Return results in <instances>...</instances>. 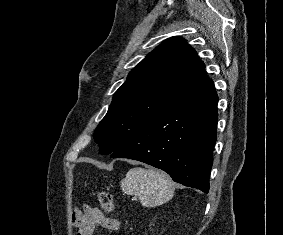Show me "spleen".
Wrapping results in <instances>:
<instances>
[{"instance_id":"1","label":"spleen","mask_w":283,"mask_h":235,"mask_svg":"<svg viewBox=\"0 0 283 235\" xmlns=\"http://www.w3.org/2000/svg\"><path fill=\"white\" fill-rule=\"evenodd\" d=\"M120 185L125 194L137 196L144 207H156L168 202L175 190L168 174L152 168H131Z\"/></svg>"}]
</instances>
